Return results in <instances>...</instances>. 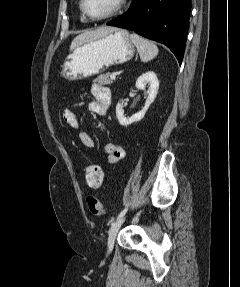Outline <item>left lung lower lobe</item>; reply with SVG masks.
<instances>
[{
  "mask_svg": "<svg viewBox=\"0 0 240 287\" xmlns=\"http://www.w3.org/2000/svg\"><path fill=\"white\" fill-rule=\"evenodd\" d=\"M191 0H133L122 16L107 25L163 43L182 63L189 27Z\"/></svg>",
  "mask_w": 240,
  "mask_h": 287,
  "instance_id": "1",
  "label": "left lung lower lobe"
}]
</instances>
